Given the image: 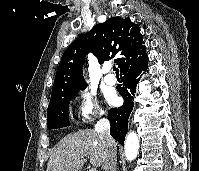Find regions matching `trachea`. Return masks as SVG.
Masks as SVG:
<instances>
[{
	"label": "trachea",
	"mask_w": 199,
	"mask_h": 171,
	"mask_svg": "<svg viewBox=\"0 0 199 171\" xmlns=\"http://www.w3.org/2000/svg\"><path fill=\"white\" fill-rule=\"evenodd\" d=\"M113 70L116 72V73H119L117 68L115 67V65L113 66Z\"/></svg>",
	"instance_id": "obj_1"
}]
</instances>
